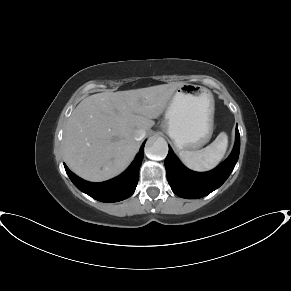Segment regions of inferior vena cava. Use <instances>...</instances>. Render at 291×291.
Instances as JSON below:
<instances>
[{
    "instance_id": "1",
    "label": "inferior vena cava",
    "mask_w": 291,
    "mask_h": 291,
    "mask_svg": "<svg viewBox=\"0 0 291 291\" xmlns=\"http://www.w3.org/2000/svg\"><path fill=\"white\" fill-rule=\"evenodd\" d=\"M145 135H146L145 130H143V129L136 130L135 133H134V139L136 141H140L145 137Z\"/></svg>"
}]
</instances>
